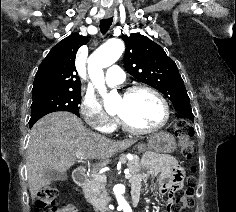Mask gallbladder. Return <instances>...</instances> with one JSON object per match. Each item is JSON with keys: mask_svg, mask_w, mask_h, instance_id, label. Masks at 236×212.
Wrapping results in <instances>:
<instances>
[{"mask_svg": "<svg viewBox=\"0 0 236 212\" xmlns=\"http://www.w3.org/2000/svg\"><path fill=\"white\" fill-rule=\"evenodd\" d=\"M44 176L49 181H63L68 177L66 173L58 172L52 168H48L45 171Z\"/></svg>", "mask_w": 236, "mask_h": 212, "instance_id": "obj_1", "label": "gallbladder"}]
</instances>
